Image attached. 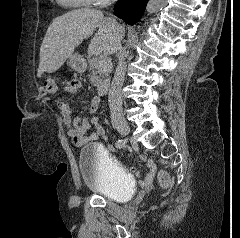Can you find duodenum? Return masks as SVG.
<instances>
[{"label": "duodenum", "mask_w": 240, "mask_h": 238, "mask_svg": "<svg viewBox=\"0 0 240 238\" xmlns=\"http://www.w3.org/2000/svg\"><path fill=\"white\" fill-rule=\"evenodd\" d=\"M109 80L105 79L103 80L100 85L98 86V94L100 96H104L105 94H107L108 90H109Z\"/></svg>", "instance_id": "duodenum-1"}]
</instances>
